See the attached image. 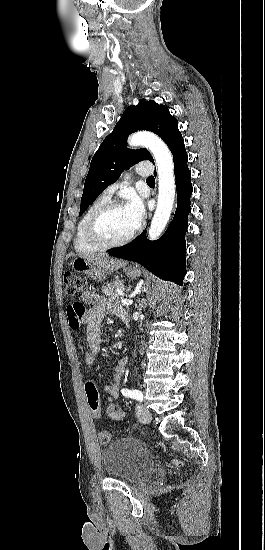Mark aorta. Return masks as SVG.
<instances>
[{"instance_id": "obj_1", "label": "aorta", "mask_w": 265, "mask_h": 550, "mask_svg": "<svg viewBox=\"0 0 265 550\" xmlns=\"http://www.w3.org/2000/svg\"><path fill=\"white\" fill-rule=\"evenodd\" d=\"M132 147L145 146L153 154L158 170V203L149 229V239H157L170 218L175 199L173 157L166 144L148 132L135 133L128 139Z\"/></svg>"}]
</instances>
